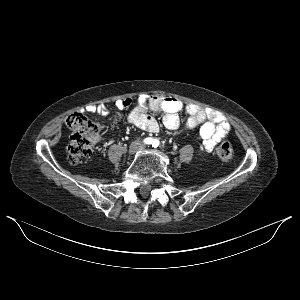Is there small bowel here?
<instances>
[{
	"label": "small bowel",
	"instance_id": "c3829d8e",
	"mask_svg": "<svg viewBox=\"0 0 300 300\" xmlns=\"http://www.w3.org/2000/svg\"><path fill=\"white\" fill-rule=\"evenodd\" d=\"M115 106L122 109L123 101H116ZM86 111L100 116H107L110 112L106 104L90 105ZM150 111H162L163 125L169 130L189 131L199 127L202 145L207 152L213 151L216 145L231 131L230 123L217 110L184 103L173 96L154 95L148 97L144 102L129 110L127 121L146 132L156 133L159 130V124L151 116ZM182 111L187 114L184 121L180 119L179 115Z\"/></svg>",
	"mask_w": 300,
	"mask_h": 300
}]
</instances>
